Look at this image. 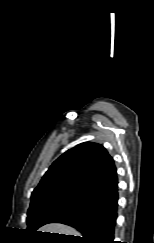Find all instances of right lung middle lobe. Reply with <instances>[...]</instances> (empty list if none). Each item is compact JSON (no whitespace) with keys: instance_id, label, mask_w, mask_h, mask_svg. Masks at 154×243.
Instances as JSON below:
<instances>
[{"instance_id":"1","label":"right lung middle lobe","mask_w":154,"mask_h":243,"mask_svg":"<svg viewBox=\"0 0 154 243\" xmlns=\"http://www.w3.org/2000/svg\"><path fill=\"white\" fill-rule=\"evenodd\" d=\"M85 201L73 197L65 196H45L32 199L27 213V230L30 234L44 225L50 217L58 214L66 208H74L84 204Z\"/></svg>"}]
</instances>
